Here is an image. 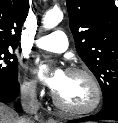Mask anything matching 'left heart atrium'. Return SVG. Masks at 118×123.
Returning a JSON list of instances; mask_svg holds the SVG:
<instances>
[{"label":"left heart atrium","mask_w":118,"mask_h":123,"mask_svg":"<svg viewBox=\"0 0 118 123\" xmlns=\"http://www.w3.org/2000/svg\"><path fill=\"white\" fill-rule=\"evenodd\" d=\"M35 72L39 79L55 92L63 85L66 78V72L62 68L51 67L46 63H37Z\"/></svg>","instance_id":"left-heart-atrium-1"}]
</instances>
